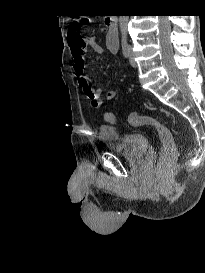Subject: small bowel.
<instances>
[{
	"instance_id": "1",
	"label": "small bowel",
	"mask_w": 205,
	"mask_h": 273,
	"mask_svg": "<svg viewBox=\"0 0 205 273\" xmlns=\"http://www.w3.org/2000/svg\"><path fill=\"white\" fill-rule=\"evenodd\" d=\"M85 41H86L85 46H80L73 42L70 43L71 52L73 56V70L75 77L78 81V85L82 90L83 94L90 101V104L93 108L99 109L103 106V99L101 98L102 90L101 88H93L91 86L90 78L85 71V61L86 53L88 50L96 54H101L103 52V48L94 37H88L85 39ZM106 46L111 53H116L118 49L116 33L111 30H108L106 35ZM115 97H116L115 90H108L106 92L107 100H112ZM106 113H104V118Z\"/></svg>"
}]
</instances>
